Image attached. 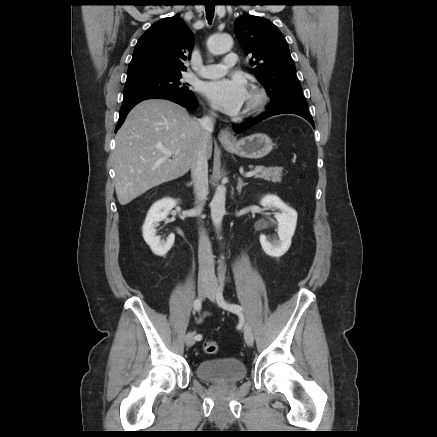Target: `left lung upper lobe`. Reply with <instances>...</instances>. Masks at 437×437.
<instances>
[{
	"label": "left lung upper lobe",
	"instance_id": "left-lung-upper-lobe-1",
	"mask_svg": "<svg viewBox=\"0 0 437 437\" xmlns=\"http://www.w3.org/2000/svg\"><path fill=\"white\" fill-rule=\"evenodd\" d=\"M235 35L244 52L252 55L249 63L271 97L267 109H307L288 44L279 29L265 18L244 15L235 22Z\"/></svg>",
	"mask_w": 437,
	"mask_h": 437
}]
</instances>
